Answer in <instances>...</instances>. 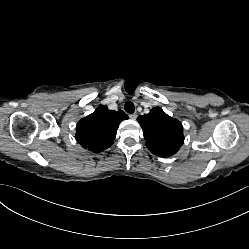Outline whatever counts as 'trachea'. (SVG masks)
I'll use <instances>...</instances> for the list:
<instances>
[{
	"label": "trachea",
	"mask_w": 249,
	"mask_h": 249,
	"mask_svg": "<svg viewBox=\"0 0 249 249\" xmlns=\"http://www.w3.org/2000/svg\"><path fill=\"white\" fill-rule=\"evenodd\" d=\"M124 109H125V111H126L127 113H130V114H131V113L134 112L135 106H134V104H133L132 102L128 101V102L125 103Z\"/></svg>",
	"instance_id": "3493384b"
}]
</instances>
